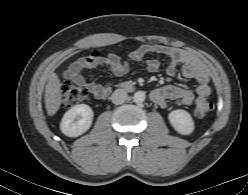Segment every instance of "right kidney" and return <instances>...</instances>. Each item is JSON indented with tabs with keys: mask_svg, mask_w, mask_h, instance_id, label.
I'll return each instance as SVG.
<instances>
[{
	"mask_svg": "<svg viewBox=\"0 0 248 195\" xmlns=\"http://www.w3.org/2000/svg\"><path fill=\"white\" fill-rule=\"evenodd\" d=\"M94 113L86 104L75 105L63 116L60 123L62 133L68 137H78L91 126Z\"/></svg>",
	"mask_w": 248,
	"mask_h": 195,
	"instance_id": "obj_1",
	"label": "right kidney"
}]
</instances>
